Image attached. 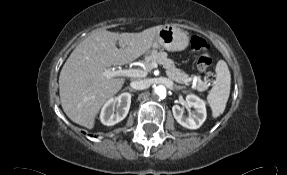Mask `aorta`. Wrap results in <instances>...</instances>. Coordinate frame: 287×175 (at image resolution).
<instances>
[{
    "label": "aorta",
    "mask_w": 287,
    "mask_h": 175,
    "mask_svg": "<svg viewBox=\"0 0 287 175\" xmlns=\"http://www.w3.org/2000/svg\"><path fill=\"white\" fill-rule=\"evenodd\" d=\"M154 93L158 95L160 98H165L167 94V89L163 85H158L157 87H155Z\"/></svg>",
    "instance_id": "762f6f07"
}]
</instances>
